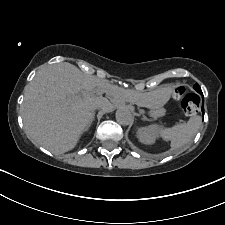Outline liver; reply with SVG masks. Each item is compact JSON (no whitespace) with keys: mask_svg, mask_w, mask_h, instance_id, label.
Here are the masks:
<instances>
[{"mask_svg":"<svg viewBox=\"0 0 225 225\" xmlns=\"http://www.w3.org/2000/svg\"><path fill=\"white\" fill-rule=\"evenodd\" d=\"M82 91L87 95L74 97ZM103 93L113 103L144 106L145 95L117 88L68 62L40 68L25 87L21 108L28 139L54 154L72 150L92 122L95 107L112 108Z\"/></svg>","mask_w":225,"mask_h":225,"instance_id":"1","label":"liver"}]
</instances>
